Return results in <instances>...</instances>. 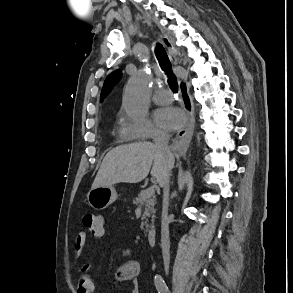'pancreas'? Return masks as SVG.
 I'll list each match as a JSON object with an SVG mask.
<instances>
[{
  "instance_id": "cf45deb5",
  "label": "pancreas",
  "mask_w": 293,
  "mask_h": 293,
  "mask_svg": "<svg viewBox=\"0 0 293 293\" xmlns=\"http://www.w3.org/2000/svg\"><path fill=\"white\" fill-rule=\"evenodd\" d=\"M146 190H141L138 196L133 200V204L140 205L144 207V214L142 216V226L146 225V232H152L154 229L153 225L149 224V218L152 217V222H154V216L152 213L155 212L154 205L156 204V198L154 196L146 197Z\"/></svg>"
}]
</instances>
